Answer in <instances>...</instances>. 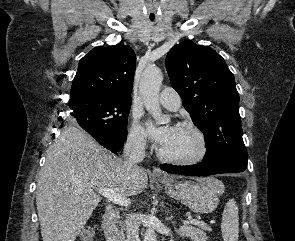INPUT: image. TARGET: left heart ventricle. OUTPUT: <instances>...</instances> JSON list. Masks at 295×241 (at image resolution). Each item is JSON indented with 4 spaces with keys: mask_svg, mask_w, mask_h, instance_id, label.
<instances>
[{
    "mask_svg": "<svg viewBox=\"0 0 295 241\" xmlns=\"http://www.w3.org/2000/svg\"><path fill=\"white\" fill-rule=\"evenodd\" d=\"M161 149L168 156L185 159L198 152L199 143L192 131L175 127L170 140Z\"/></svg>",
    "mask_w": 295,
    "mask_h": 241,
    "instance_id": "b2bd125f",
    "label": "left heart ventricle"
}]
</instances>
